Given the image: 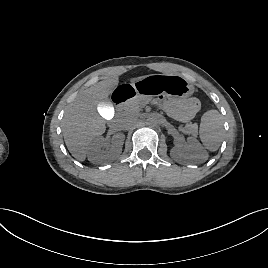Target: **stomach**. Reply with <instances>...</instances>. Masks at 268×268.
Returning a JSON list of instances; mask_svg holds the SVG:
<instances>
[{"instance_id": "stomach-1", "label": "stomach", "mask_w": 268, "mask_h": 268, "mask_svg": "<svg viewBox=\"0 0 268 268\" xmlns=\"http://www.w3.org/2000/svg\"><path fill=\"white\" fill-rule=\"evenodd\" d=\"M137 95L152 96L167 93L176 97H189L194 92L193 84L178 74H149L131 84Z\"/></svg>"}]
</instances>
